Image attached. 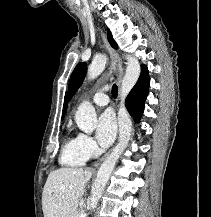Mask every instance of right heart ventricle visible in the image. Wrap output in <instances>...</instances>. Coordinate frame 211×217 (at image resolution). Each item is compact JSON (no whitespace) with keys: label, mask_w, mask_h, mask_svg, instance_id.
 Here are the masks:
<instances>
[{"label":"right heart ventricle","mask_w":211,"mask_h":217,"mask_svg":"<svg viewBox=\"0 0 211 217\" xmlns=\"http://www.w3.org/2000/svg\"><path fill=\"white\" fill-rule=\"evenodd\" d=\"M88 158L81 151L78 138L70 137L65 142L61 152V163L65 166H81Z\"/></svg>","instance_id":"obj_1"}]
</instances>
